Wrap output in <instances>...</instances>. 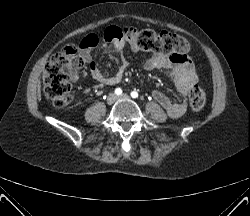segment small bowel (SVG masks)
<instances>
[{
    "instance_id": "1",
    "label": "small bowel",
    "mask_w": 250,
    "mask_h": 216,
    "mask_svg": "<svg viewBox=\"0 0 250 216\" xmlns=\"http://www.w3.org/2000/svg\"><path fill=\"white\" fill-rule=\"evenodd\" d=\"M99 39L96 35L90 34L86 36L80 43V56L85 63L89 65L91 77L98 83L103 85H116L121 82L125 71L128 68V61L121 56L117 60V71L113 76L106 77L96 66L92 60V51L98 45ZM115 49L122 53L125 49L126 42L123 39L113 41ZM134 51L139 49L131 45ZM146 70H159L165 73L174 83L176 90L181 97L179 101L171 100L161 91H154L153 97L167 111L172 118H179L186 111V97L191 86L197 81V74L193 62L186 55H169L154 54L150 56L145 64Z\"/></svg>"
}]
</instances>
